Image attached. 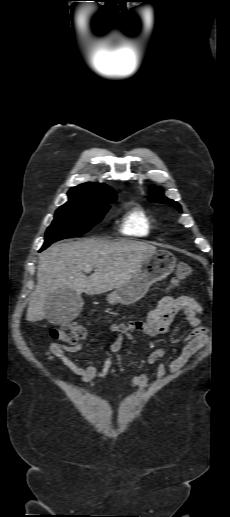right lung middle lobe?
<instances>
[{
  "instance_id": "right-lung-middle-lobe-1",
  "label": "right lung middle lobe",
  "mask_w": 230,
  "mask_h": 517,
  "mask_svg": "<svg viewBox=\"0 0 230 517\" xmlns=\"http://www.w3.org/2000/svg\"><path fill=\"white\" fill-rule=\"evenodd\" d=\"M115 193L85 201H68L57 209L52 224L45 233V241L40 251L51 243L65 238L79 236L99 223L108 211L109 202H114Z\"/></svg>"
}]
</instances>
